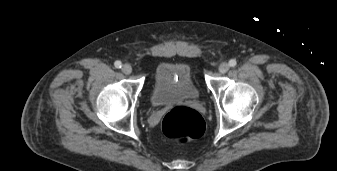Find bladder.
Returning <instances> with one entry per match:
<instances>
[{"mask_svg": "<svg viewBox=\"0 0 337 171\" xmlns=\"http://www.w3.org/2000/svg\"><path fill=\"white\" fill-rule=\"evenodd\" d=\"M200 92L193 82L190 67L185 63H162L155 71L150 101L154 106H168L196 101Z\"/></svg>", "mask_w": 337, "mask_h": 171, "instance_id": "31cf9c89", "label": "bladder"}]
</instances>
